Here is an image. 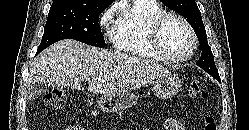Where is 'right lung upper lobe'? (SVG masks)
<instances>
[{"instance_id":"1","label":"right lung upper lobe","mask_w":249,"mask_h":130,"mask_svg":"<svg viewBox=\"0 0 249 130\" xmlns=\"http://www.w3.org/2000/svg\"><path fill=\"white\" fill-rule=\"evenodd\" d=\"M113 2V0H54L52 5L57 4H70L75 6L85 7H107Z\"/></svg>"}]
</instances>
